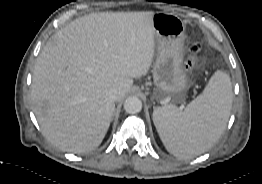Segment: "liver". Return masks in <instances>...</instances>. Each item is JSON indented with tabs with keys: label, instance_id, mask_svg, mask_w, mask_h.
Here are the masks:
<instances>
[{
	"label": "liver",
	"instance_id": "1",
	"mask_svg": "<svg viewBox=\"0 0 262 184\" xmlns=\"http://www.w3.org/2000/svg\"><path fill=\"white\" fill-rule=\"evenodd\" d=\"M152 11L100 12L80 17L55 33L34 66L31 98L48 141L85 153L103 141L133 78L148 73L155 54Z\"/></svg>",
	"mask_w": 262,
	"mask_h": 184
}]
</instances>
